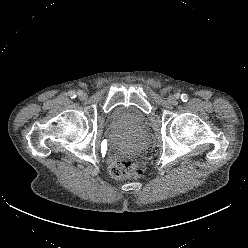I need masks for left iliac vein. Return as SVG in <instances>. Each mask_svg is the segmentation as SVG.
Instances as JSON below:
<instances>
[{
    "label": "left iliac vein",
    "mask_w": 248,
    "mask_h": 248,
    "mask_svg": "<svg viewBox=\"0 0 248 248\" xmlns=\"http://www.w3.org/2000/svg\"><path fill=\"white\" fill-rule=\"evenodd\" d=\"M177 100V97L175 95H170L168 98H167V101L171 104L175 103Z\"/></svg>",
    "instance_id": "left-iliac-vein-1"
}]
</instances>
